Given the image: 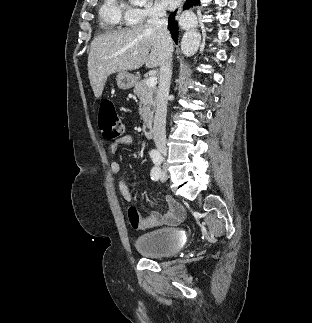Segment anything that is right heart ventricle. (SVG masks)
<instances>
[{"label":"right heart ventricle","mask_w":312,"mask_h":323,"mask_svg":"<svg viewBox=\"0 0 312 323\" xmlns=\"http://www.w3.org/2000/svg\"><path fill=\"white\" fill-rule=\"evenodd\" d=\"M118 0L100 1L96 11V20H104V25L109 29H122L127 25L128 20L125 16H134V9H125L124 5H116Z\"/></svg>","instance_id":"1"}]
</instances>
